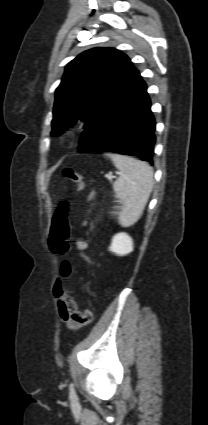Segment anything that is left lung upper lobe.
I'll return each instance as SVG.
<instances>
[{
    "label": "left lung upper lobe",
    "instance_id": "5c2ea615",
    "mask_svg": "<svg viewBox=\"0 0 208 425\" xmlns=\"http://www.w3.org/2000/svg\"><path fill=\"white\" fill-rule=\"evenodd\" d=\"M130 59L114 48H93L66 66L55 94L52 136L61 134L77 118L85 128L137 75Z\"/></svg>",
    "mask_w": 208,
    "mask_h": 425
}]
</instances>
